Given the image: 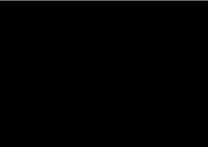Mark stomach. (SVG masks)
Returning <instances> with one entry per match:
<instances>
[{
  "label": "stomach",
  "instance_id": "obj_1",
  "mask_svg": "<svg viewBox=\"0 0 208 147\" xmlns=\"http://www.w3.org/2000/svg\"><path fill=\"white\" fill-rule=\"evenodd\" d=\"M119 47L125 59L132 63L141 62L146 55L144 40L136 32L125 34L121 38Z\"/></svg>",
  "mask_w": 208,
  "mask_h": 147
}]
</instances>
